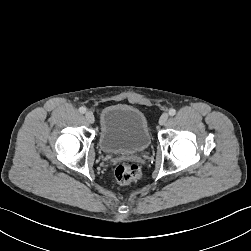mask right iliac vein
<instances>
[{
    "label": "right iliac vein",
    "instance_id": "63e3f726",
    "mask_svg": "<svg viewBox=\"0 0 251 251\" xmlns=\"http://www.w3.org/2000/svg\"><path fill=\"white\" fill-rule=\"evenodd\" d=\"M85 118H86V120H87L89 123H94V121H95L94 115H93V113H92L91 111H87V112L85 113Z\"/></svg>",
    "mask_w": 251,
    "mask_h": 251
}]
</instances>
